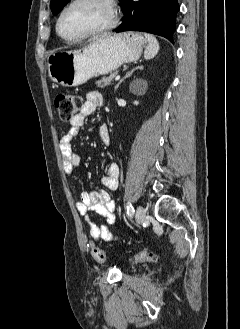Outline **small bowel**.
<instances>
[{
	"mask_svg": "<svg viewBox=\"0 0 240 329\" xmlns=\"http://www.w3.org/2000/svg\"><path fill=\"white\" fill-rule=\"evenodd\" d=\"M103 105L104 100L99 92H89L82 109L71 121L69 130L62 136L60 150L66 174H73L80 163L79 156L72 150V140L79 135L86 119ZM99 138L104 145H109L110 135L107 125L100 126ZM118 178L119 166L116 163H109L106 166L105 174L101 177V184L104 188L96 192H83L76 204L79 214L85 218L89 226L90 236L95 240L112 241L121 238V235H114L108 229V225L117 223L114 214L115 202L111 200L108 191H115L118 188ZM91 213L103 217L104 222L99 225L93 222L90 217Z\"/></svg>",
	"mask_w": 240,
	"mask_h": 329,
	"instance_id": "c3829d8e",
	"label": "small bowel"
}]
</instances>
